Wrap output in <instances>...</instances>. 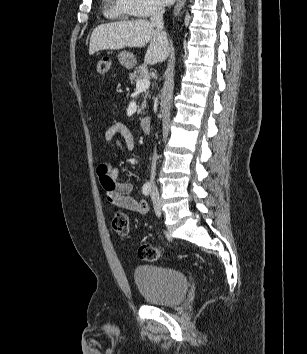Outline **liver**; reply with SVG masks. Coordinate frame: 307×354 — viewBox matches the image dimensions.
Listing matches in <instances>:
<instances>
[{"mask_svg": "<svg viewBox=\"0 0 307 354\" xmlns=\"http://www.w3.org/2000/svg\"><path fill=\"white\" fill-rule=\"evenodd\" d=\"M147 48L144 62L156 64L163 62L169 55V42L166 35L145 19L120 21L99 25L90 38L89 54L101 50H119L123 48Z\"/></svg>", "mask_w": 307, "mask_h": 354, "instance_id": "1", "label": "liver"}]
</instances>
